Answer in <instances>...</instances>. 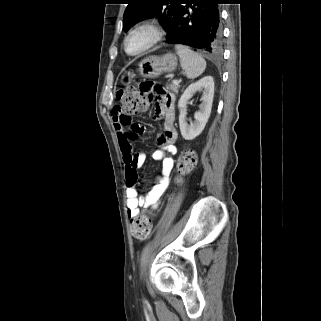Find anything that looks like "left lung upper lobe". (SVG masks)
Masks as SVG:
<instances>
[{"mask_svg": "<svg viewBox=\"0 0 321 321\" xmlns=\"http://www.w3.org/2000/svg\"><path fill=\"white\" fill-rule=\"evenodd\" d=\"M181 0H128L123 16V28L127 31L137 22L157 17L165 30Z\"/></svg>", "mask_w": 321, "mask_h": 321, "instance_id": "left-lung-upper-lobe-1", "label": "left lung upper lobe"}]
</instances>
